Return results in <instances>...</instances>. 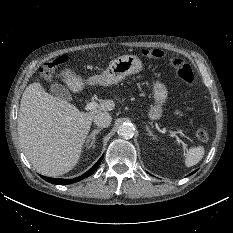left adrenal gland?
Instances as JSON below:
<instances>
[{"mask_svg": "<svg viewBox=\"0 0 233 233\" xmlns=\"http://www.w3.org/2000/svg\"><path fill=\"white\" fill-rule=\"evenodd\" d=\"M146 130L148 131L149 136H152L153 139L157 140L156 136L153 135L152 130L147 125H146Z\"/></svg>", "mask_w": 233, "mask_h": 233, "instance_id": "obj_1", "label": "left adrenal gland"}]
</instances>
